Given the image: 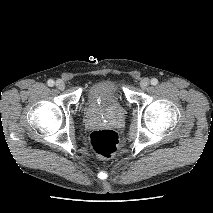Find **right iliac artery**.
Segmentation results:
<instances>
[{
    "label": "right iliac artery",
    "instance_id": "1",
    "mask_svg": "<svg viewBox=\"0 0 213 213\" xmlns=\"http://www.w3.org/2000/svg\"><path fill=\"white\" fill-rule=\"evenodd\" d=\"M48 86L52 87L54 85V81L52 79H49L47 81Z\"/></svg>",
    "mask_w": 213,
    "mask_h": 213
}]
</instances>
